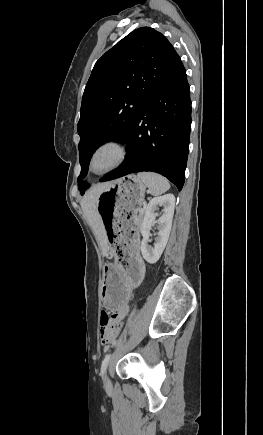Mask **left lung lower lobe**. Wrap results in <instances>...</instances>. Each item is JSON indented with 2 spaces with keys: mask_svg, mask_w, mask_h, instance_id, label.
Masks as SVG:
<instances>
[{
  "mask_svg": "<svg viewBox=\"0 0 263 435\" xmlns=\"http://www.w3.org/2000/svg\"><path fill=\"white\" fill-rule=\"evenodd\" d=\"M191 100L185 68L180 62L171 76L151 95L125 142L127 159L100 182L134 172L152 171L181 190L188 158Z\"/></svg>",
  "mask_w": 263,
  "mask_h": 435,
  "instance_id": "left-lung-lower-lobe-1",
  "label": "left lung lower lobe"
}]
</instances>
